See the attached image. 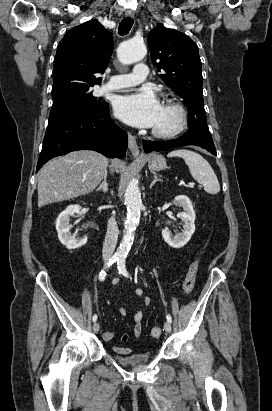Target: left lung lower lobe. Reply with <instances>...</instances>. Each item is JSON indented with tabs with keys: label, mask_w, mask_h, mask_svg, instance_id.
Returning a JSON list of instances; mask_svg holds the SVG:
<instances>
[{
	"label": "left lung lower lobe",
	"mask_w": 272,
	"mask_h": 411,
	"mask_svg": "<svg viewBox=\"0 0 272 411\" xmlns=\"http://www.w3.org/2000/svg\"><path fill=\"white\" fill-rule=\"evenodd\" d=\"M144 151H162L182 145H196L216 155V149L208 128L198 127L189 129L181 137L163 142L143 141Z\"/></svg>",
	"instance_id": "1"
}]
</instances>
